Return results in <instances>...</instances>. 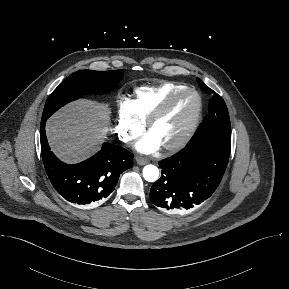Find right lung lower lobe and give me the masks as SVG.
<instances>
[{"label": "right lung lower lobe", "instance_id": "98d812e1", "mask_svg": "<svg viewBox=\"0 0 289 289\" xmlns=\"http://www.w3.org/2000/svg\"><path fill=\"white\" fill-rule=\"evenodd\" d=\"M41 121L40 142L46 173L56 191L67 201L94 205L114 190L119 176L133 166V154L126 149L104 143L93 157L74 165L65 164L51 152Z\"/></svg>", "mask_w": 289, "mask_h": 289}]
</instances>
